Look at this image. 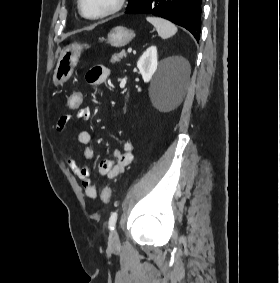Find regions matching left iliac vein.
Masks as SVG:
<instances>
[{"label": "left iliac vein", "instance_id": "4c4485c4", "mask_svg": "<svg viewBox=\"0 0 280 283\" xmlns=\"http://www.w3.org/2000/svg\"><path fill=\"white\" fill-rule=\"evenodd\" d=\"M108 245L110 248H116L120 245L119 235L117 229H114L110 232L108 238Z\"/></svg>", "mask_w": 280, "mask_h": 283}]
</instances>
